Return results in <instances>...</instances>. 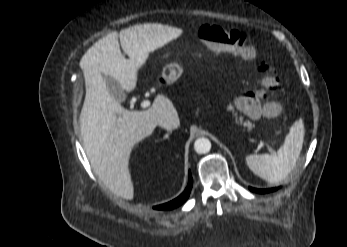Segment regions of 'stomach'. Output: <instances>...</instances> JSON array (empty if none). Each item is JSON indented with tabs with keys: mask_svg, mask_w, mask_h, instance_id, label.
<instances>
[{
	"mask_svg": "<svg viewBox=\"0 0 347 247\" xmlns=\"http://www.w3.org/2000/svg\"><path fill=\"white\" fill-rule=\"evenodd\" d=\"M181 74V67L174 64H169L163 68L162 78L168 83H173L180 77Z\"/></svg>",
	"mask_w": 347,
	"mask_h": 247,
	"instance_id": "stomach-1",
	"label": "stomach"
}]
</instances>
